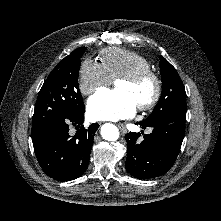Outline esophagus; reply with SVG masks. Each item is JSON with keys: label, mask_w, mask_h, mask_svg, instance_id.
Masks as SVG:
<instances>
[{"label": "esophagus", "mask_w": 221, "mask_h": 221, "mask_svg": "<svg viewBox=\"0 0 221 221\" xmlns=\"http://www.w3.org/2000/svg\"><path fill=\"white\" fill-rule=\"evenodd\" d=\"M117 127L120 129V131L122 132V134H126L127 130L125 128V126L123 124H117Z\"/></svg>", "instance_id": "34e87169"}]
</instances>
